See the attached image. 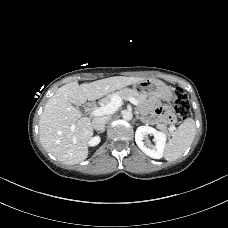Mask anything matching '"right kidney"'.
I'll return each instance as SVG.
<instances>
[{"label": "right kidney", "mask_w": 228, "mask_h": 228, "mask_svg": "<svg viewBox=\"0 0 228 228\" xmlns=\"http://www.w3.org/2000/svg\"><path fill=\"white\" fill-rule=\"evenodd\" d=\"M101 139L99 136L93 137L90 141H89V145L90 146H96L100 143Z\"/></svg>", "instance_id": "right-kidney-1"}]
</instances>
